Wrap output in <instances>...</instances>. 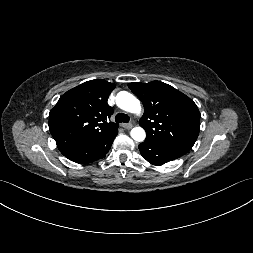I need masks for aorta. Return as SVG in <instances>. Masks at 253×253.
I'll use <instances>...</instances> for the list:
<instances>
[{
  "mask_svg": "<svg viewBox=\"0 0 253 253\" xmlns=\"http://www.w3.org/2000/svg\"><path fill=\"white\" fill-rule=\"evenodd\" d=\"M116 104L122 110L130 113H139L141 111L140 101L135 96L126 91H121L117 94ZM130 135L135 141L138 142L144 141L146 137L145 130L141 127L133 128Z\"/></svg>",
  "mask_w": 253,
  "mask_h": 253,
  "instance_id": "obj_1",
  "label": "aorta"
}]
</instances>
